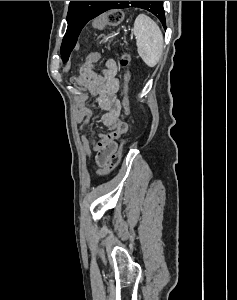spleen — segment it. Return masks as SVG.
<instances>
[{"label":"spleen","instance_id":"3e777b00","mask_svg":"<svg viewBox=\"0 0 237 300\" xmlns=\"http://www.w3.org/2000/svg\"><path fill=\"white\" fill-rule=\"evenodd\" d=\"M138 55L148 67L159 63L163 51V35L156 23L147 15H138L132 29Z\"/></svg>","mask_w":237,"mask_h":300}]
</instances>
